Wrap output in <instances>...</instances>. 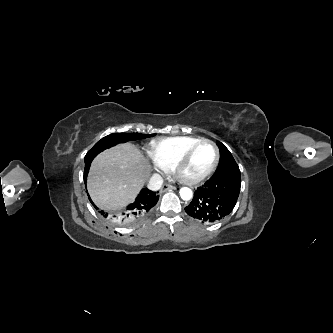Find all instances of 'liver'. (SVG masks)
Listing matches in <instances>:
<instances>
[{
  "instance_id": "obj_1",
  "label": "liver",
  "mask_w": 333,
  "mask_h": 333,
  "mask_svg": "<svg viewBox=\"0 0 333 333\" xmlns=\"http://www.w3.org/2000/svg\"><path fill=\"white\" fill-rule=\"evenodd\" d=\"M149 169L147 159L135 145L119 144L94 158L87 183L89 194L105 211L120 209L134 201Z\"/></svg>"
}]
</instances>
